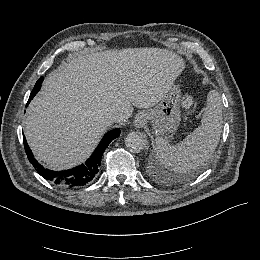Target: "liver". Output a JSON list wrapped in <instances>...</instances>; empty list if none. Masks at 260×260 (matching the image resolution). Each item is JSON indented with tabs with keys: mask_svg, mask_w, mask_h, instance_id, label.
Wrapping results in <instances>:
<instances>
[{
	"mask_svg": "<svg viewBox=\"0 0 260 260\" xmlns=\"http://www.w3.org/2000/svg\"><path fill=\"white\" fill-rule=\"evenodd\" d=\"M184 68L179 55L154 47L79 54L51 72L30 102L24 120L27 143L48 168H72L99 143L108 112L123 123L133 106H155Z\"/></svg>",
	"mask_w": 260,
	"mask_h": 260,
	"instance_id": "1",
	"label": "liver"
}]
</instances>
